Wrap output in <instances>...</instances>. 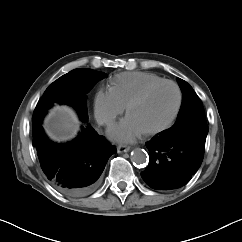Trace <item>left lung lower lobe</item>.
I'll use <instances>...</instances> for the list:
<instances>
[{
	"instance_id": "0a47b994",
	"label": "left lung lower lobe",
	"mask_w": 242,
	"mask_h": 242,
	"mask_svg": "<svg viewBox=\"0 0 242 242\" xmlns=\"http://www.w3.org/2000/svg\"><path fill=\"white\" fill-rule=\"evenodd\" d=\"M205 140L206 136L173 137L159 133L146 145L150 162L141 172L143 180L156 190L186 185L202 163Z\"/></svg>"
}]
</instances>
